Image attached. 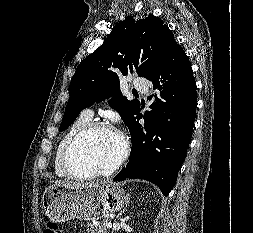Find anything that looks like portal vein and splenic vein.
<instances>
[{
	"label": "portal vein and splenic vein",
	"instance_id": "1",
	"mask_svg": "<svg viewBox=\"0 0 253 233\" xmlns=\"http://www.w3.org/2000/svg\"><path fill=\"white\" fill-rule=\"evenodd\" d=\"M106 227H107V228H111V227H112V223H110V222L107 223V224H106Z\"/></svg>",
	"mask_w": 253,
	"mask_h": 233
}]
</instances>
